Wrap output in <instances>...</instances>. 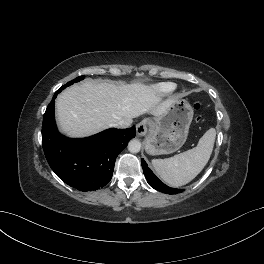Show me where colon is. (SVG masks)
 Masks as SVG:
<instances>
[{"instance_id":"1","label":"colon","mask_w":264,"mask_h":264,"mask_svg":"<svg viewBox=\"0 0 264 264\" xmlns=\"http://www.w3.org/2000/svg\"><path fill=\"white\" fill-rule=\"evenodd\" d=\"M194 107H195V109H198L199 108V105L198 104H195Z\"/></svg>"}]
</instances>
